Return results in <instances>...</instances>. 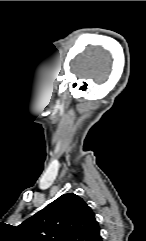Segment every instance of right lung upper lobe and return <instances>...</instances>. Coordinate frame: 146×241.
Wrapping results in <instances>:
<instances>
[{"mask_svg": "<svg viewBox=\"0 0 146 241\" xmlns=\"http://www.w3.org/2000/svg\"><path fill=\"white\" fill-rule=\"evenodd\" d=\"M21 225L32 241H102L94 212L73 193L60 196Z\"/></svg>", "mask_w": 146, "mask_h": 241, "instance_id": "1", "label": "right lung upper lobe"}]
</instances>
